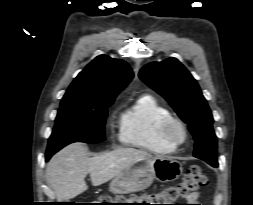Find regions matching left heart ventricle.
<instances>
[{
  "label": "left heart ventricle",
  "instance_id": "obj_1",
  "mask_svg": "<svg viewBox=\"0 0 253 205\" xmlns=\"http://www.w3.org/2000/svg\"><path fill=\"white\" fill-rule=\"evenodd\" d=\"M175 133H176V135H179V131H178V130H176V132H175Z\"/></svg>",
  "mask_w": 253,
  "mask_h": 205
}]
</instances>
